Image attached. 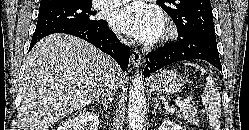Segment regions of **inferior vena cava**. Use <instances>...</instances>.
<instances>
[{"mask_svg":"<svg viewBox=\"0 0 249 130\" xmlns=\"http://www.w3.org/2000/svg\"><path fill=\"white\" fill-rule=\"evenodd\" d=\"M121 41H123L126 44H130L129 41H127L126 39L121 38ZM118 72H121L120 68L118 67V65L116 63L113 64V72L111 74V76L109 77L107 83L105 84V87L103 89V96H106L108 98H111L112 100V96L114 95V92L117 88V77L116 74Z\"/></svg>","mask_w":249,"mask_h":130,"instance_id":"1","label":"inferior vena cava"}]
</instances>
